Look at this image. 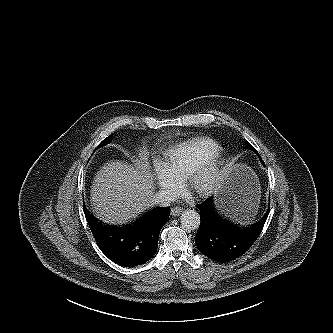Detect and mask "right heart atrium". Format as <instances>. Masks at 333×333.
Returning a JSON list of instances; mask_svg holds the SVG:
<instances>
[{
    "instance_id": "d8ad5b80",
    "label": "right heart atrium",
    "mask_w": 333,
    "mask_h": 333,
    "mask_svg": "<svg viewBox=\"0 0 333 333\" xmlns=\"http://www.w3.org/2000/svg\"><path fill=\"white\" fill-rule=\"evenodd\" d=\"M153 174L159 188L165 194L173 195L180 190L181 179L174 175L164 162L154 161Z\"/></svg>"
}]
</instances>
